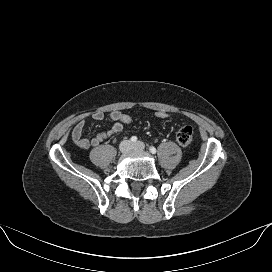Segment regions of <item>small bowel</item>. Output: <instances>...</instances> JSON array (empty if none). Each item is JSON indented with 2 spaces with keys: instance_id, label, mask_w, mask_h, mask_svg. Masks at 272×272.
<instances>
[{
  "instance_id": "obj_1",
  "label": "small bowel",
  "mask_w": 272,
  "mask_h": 272,
  "mask_svg": "<svg viewBox=\"0 0 272 272\" xmlns=\"http://www.w3.org/2000/svg\"><path fill=\"white\" fill-rule=\"evenodd\" d=\"M120 114L121 112L119 111H112L110 113V119L114 122L112 127L108 131L98 133L93 138H87L83 135L86 120L81 119L79 122L76 123L71 132V138L73 142L82 149H89L92 147L99 146L102 142H104L108 138L122 131L123 124L119 120ZM104 117L105 115L102 111H96L91 115V119L94 121H102Z\"/></svg>"
}]
</instances>
